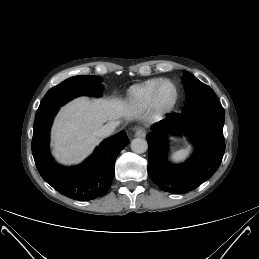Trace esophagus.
Listing matches in <instances>:
<instances>
[{"label": "esophagus", "mask_w": 259, "mask_h": 259, "mask_svg": "<svg viewBox=\"0 0 259 259\" xmlns=\"http://www.w3.org/2000/svg\"><path fill=\"white\" fill-rule=\"evenodd\" d=\"M135 136L137 137H145L146 136V130L143 128H136L135 129Z\"/></svg>", "instance_id": "1"}]
</instances>
